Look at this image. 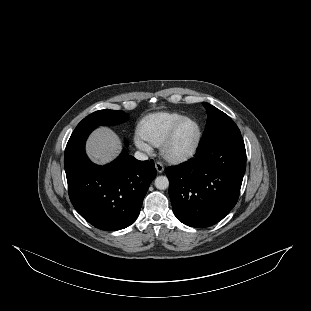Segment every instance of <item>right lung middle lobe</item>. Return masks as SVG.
I'll list each match as a JSON object with an SVG mask.
<instances>
[{
    "label": "right lung middle lobe",
    "instance_id": "obj_1",
    "mask_svg": "<svg viewBox=\"0 0 311 311\" xmlns=\"http://www.w3.org/2000/svg\"><path fill=\"white\" fill-rule=\"evenodd\" d=\"M128 116L123 111H115V110H99L96 111L87 117H85L76 127L75 130L83 129V128H96L102 125H115L123 123L127 120Z\"/></svg>",
    "mask_w": 311,
    "mask_h": 311
}]
</instances>
